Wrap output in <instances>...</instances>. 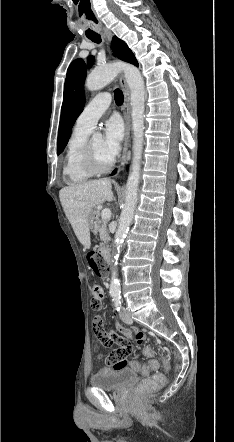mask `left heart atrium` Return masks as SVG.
Instances as JSON below:
<instances>
[{
    "label": "left heart atrium",
    "instance_id": "1",
    "mask_svg": "<svg viewBox=\"0 0 234 442\" xmlns=\"http://www.w3.org/2000/svg\"><path fill=\"white\" fill-rule=\"evenodd\" d=\"M124 138V125L121 118L117 115L111 116L104 125V151L113 159L119 149Z\"/></svg>",
    "mask_w": 234,
    "mask_h": 442
}]
</instances>
